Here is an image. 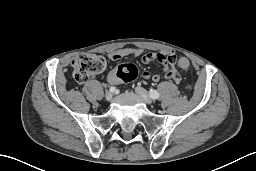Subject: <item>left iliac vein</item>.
<instances>
[{"instance_id":"left-iliac-vein-1","label":"left iliac vein","mask_w":256,"mask_h":171,"mask_svg":"<svg viewBox=\"0 0 256 171\" xmlns=\"http://www.w3.org/2000/svg\"><path fill=\"white\" fill-rule=\"evenodd\" d=\"M135 91L146 104L151 105L153 103L152 98L144 88L138 86L135 88Z\"/></svg>"}]
</instances>
